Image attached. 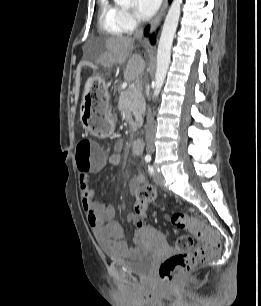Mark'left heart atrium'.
<instances>
[{"mask_svg": "<svg viewBox=\"0 0 261 306\" xmlns=\"http://www.w3.org/2000/svg\"><path fill=\"white\" fill-rule=\"evenodd\" d=\"M161 1L162 0H134L136 16L143 20L151 18L160 7Z\"/></svg>", "mask_w": 261, "mask_h": 306, "instance_id": "39dd6f15", "label": "left heart atrium"}]
</instances>
